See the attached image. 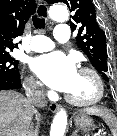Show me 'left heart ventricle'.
I'll return each instance as SVG.
<instances>
[{
	"label": "left heart ventricle",
	"instance_id": "left-heart-ventricle-1",
	"mask_svg": "<svg viewBox=\"0 0 117 136\" xmlns=\"http://www.w3.org/2000/svg\"><path fill=\"white\" fill-rule=\"evenodd\" d=\"M96 83L87 73L77 72L76 77L67 94L77 100H88L96 95Z\"/></svg>",
	"mask_w": 117,
	"mask_h": 136
}]
</instances>
